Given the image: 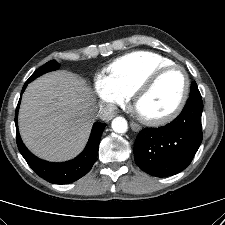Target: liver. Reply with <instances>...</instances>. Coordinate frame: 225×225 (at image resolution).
<instances>
[{
	"mask_svg": "<svg viewBox=\"0 0 225 225\" xmlns=\"http://www.w3.org/2000/svg\"><path fill=\"white\" fill-rule=\"evenodd\" d=\"M96 108L83 79L65 70L47 73L31 82L22 96L20 135L40 158L71 159L87 143Z\"/></svg>",
	"mask_w": 225,
	"mask_h": 225,
	"instance_id": "6515ba94",
	"label": "liver"
}]
</instances>
